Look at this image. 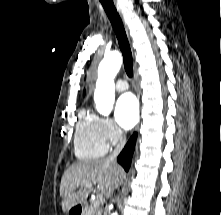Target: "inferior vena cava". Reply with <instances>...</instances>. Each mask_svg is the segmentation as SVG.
Segmentation results:
<instances>
[{
    "mask_svg": "<svg viewBox=\"0 0 221 215\" xmlns=\"http://www.w3.org/2000/svg\"><path fill=\"white\" fill-rule=\"evenodd\" d=\"M125 143H126V137H125V135L123 136V132H121L119 144L116 146L115 150L107 158V160L108 161H114L117 158V156L120 154V152L123 149Z\"/></svg>",
    "mask_w": 221,
    "mask_h": 215,
    "instance_id": "obj_1",
    "label": "inferior vena cava"
}]
</instances>
